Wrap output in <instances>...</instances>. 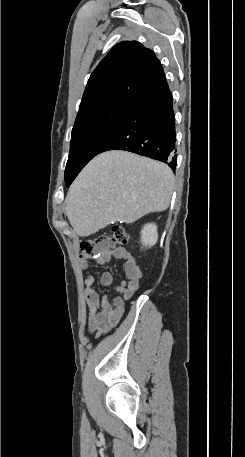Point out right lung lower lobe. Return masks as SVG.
Instances as JSON below:
<instances>
[{
    "mask_svg": "<svg viewBox=\"0 0 245 457\" xmlns=\"http://www.w3.org/2000/svg\"><path fill=\"white\" fill-rule=\"evenodd\" d=\"M108 150H125L147 156L168 163L175 170V115L167 82L134 102L100 153Z\"/></svg>",
    "mask_w": 245,
    "mask_h": 457,
    "instance_id": "obj_1",
    "label": "right lung lower lobe"
}]
</instances>
